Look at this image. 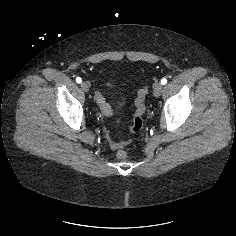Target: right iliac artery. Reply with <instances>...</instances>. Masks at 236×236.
Here are the masks:
<instances>
[{
    "mask_svg": "<svg viewBox=\"0 0 236 236\" xmlns=\"http://www.w3.org/2000/svg\"><path fill=\"white\" fill-rule=\"evenodd\" d=\"M76 82H77V83H81V82H82V79H81L80 77H77V78H76Z\"/></svg>",
    "mask_w": 236,
    "mask_h": 236,
    "instance_id": "right-iliac-artery-1",
    "label": "right iliac artery"
}]
</instances>
